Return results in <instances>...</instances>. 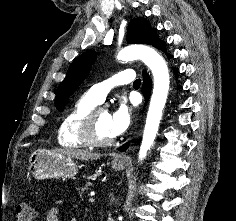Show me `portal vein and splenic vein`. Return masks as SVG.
I'll list each match as a JSON object with an SVG mask.
<instances>
[{"label": "portal vein and splenic vein", "mask_w": 236, "mask_h": 221, "mask_svg": "<svg viewBox=\"0 0 236 221\" xmlns=\"http://www.w3.org/2000/svg\"><path fill=\"white\" fill-rule=\"evenodd\" d=\"M94 201H95V198H93V197H90V198H89V202L92 203V202H94Z\"/></svg>", "instance_id": "18ae733b"}]
</instances>
